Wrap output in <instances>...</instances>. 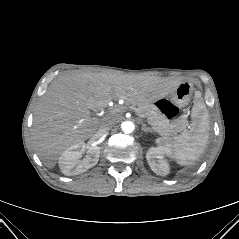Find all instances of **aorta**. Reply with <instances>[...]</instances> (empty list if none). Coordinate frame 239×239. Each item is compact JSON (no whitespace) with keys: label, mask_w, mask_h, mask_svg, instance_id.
<instances>
[{"label":"aorta","mask_w":239,"mask_h":239,"mask_svg":"<svg viewBox=\"0 0 239 239\" xmlns=\"http://www.w3.org/2000/svg\"><path fill=\"white\" fill-rule=\"evenodd\" d=\"M121 129L124 133L130 134L135 130V124L132 121H124L121 124Z\"/></svg>","instance_id":"aorta-1"}]
</instances>
